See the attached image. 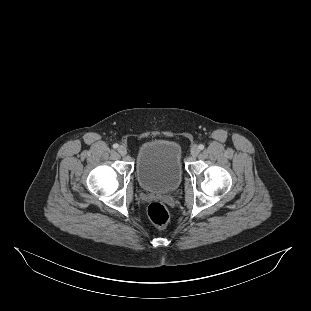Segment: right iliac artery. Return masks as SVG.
<instances>
[{"label":"right iliac artery","instance_id":"1","mask_svg":"<svg viewBox=\"0 0 311 311\" xmlns=\"http://www.w3.org/2000/svg\"><path fill=\"white\" fill-rule=\"evenodd\" d=\"M118 147H119V145H118V144H116V143H115V144H113V148H114V149H117Z\"/></svg>","mask_w":311,"mask_h":311}]
</instances>
